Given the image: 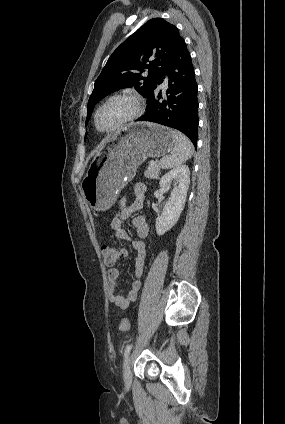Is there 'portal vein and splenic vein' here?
<instances>
[{
    "instance_id": "obj_1",
    "label": "portal vein and splenic vein",
    "mask_w": 285,
    "mask_h": 424,
    "mask_svg": "<svg viewBox=\"0 0 285 424\" xmlns=\"http://www.w3.org/2000/svg\"><path fill=\"white\" fill-rule=\"evenodd\" d=\"M154 163H155V162H153V161H152V162H150V164H151V165H153Z\"/></svg>"
}]
</instances>
